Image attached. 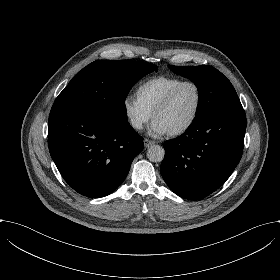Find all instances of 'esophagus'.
Here are the masks:
<instances>
[{
	"instance_id": "obj_1",
	"label": "esophagus",
	"mask_w": 280,
	"mask_h": 280,
	"mask_svg": "<svg viewBox=\"0 0 280 280\" xmlns=\"http://www.w3.org/2000/svg\"><path fill=\"white\" fill-rule=\"evenodd\" d=\"M155 142L153 140H149V139H144V146L146 148L150 147L151 145H153Z\"/></svg>"
}]
</instances>
